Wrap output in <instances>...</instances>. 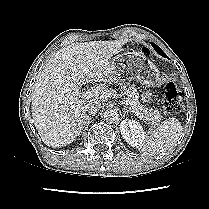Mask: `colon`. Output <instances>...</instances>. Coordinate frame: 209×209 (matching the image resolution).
Returning <instances> with one entry per match:
<instances>
[{
    "instance_id": "1",
    "label": "colon",
    "mask_w": 209,
    "mask_h": 209,
    "mask_svg": "<svg viewBox=\"0 0 209 209\" xmlns=\"http://www.w3.org/2000/svg\"><path fill=\"white\" fill-rule=\"evenodd\" d=\"M144 52H148L146 47L143 48ZM182 105V94L178 90L176 84L172 81L168 82L164 89L163 109L167 115L177 113Z\"/></svg>"
}]
</instances>
